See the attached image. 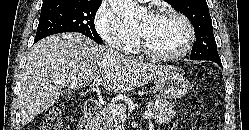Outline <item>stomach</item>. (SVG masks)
<instances>
[{
    "mask_svg": "<svg viewBox=\"0 0 249 130\" xmlns=\"http://www.w3.org/2000/svg\"><path fill=\"white\" fill-rule=\"evenodd\" d=\"M154 85L168 99L181 98L190 90L188 79L177 70H170L158 75L154 80Z\"/></svg>",
    "mask_w": 249,
    "mask_h": 130,
    "instance_id": "obj_1",
    "label": "stomach"
}]
</instances>
